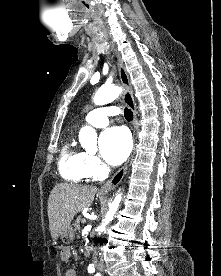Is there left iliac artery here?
Masks as SVG:
<instances>
[{
  "instance_id": "obj_1",
  "label": "left iliac artery",
  "mask_w": 221,
  "mask_h": 276,
  "mask_svg": "<svg viewBox=\"0 0 221 276\" xmlns=\"http://www.w3.org/2000/svg\"><path fill=\"white\" fill-rule=\"evenodd\" d=\"M96 276H101V275L99 273H97Z\"/></svg>"
}]
</instances>
